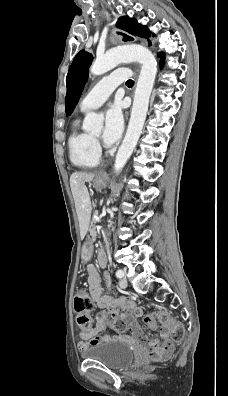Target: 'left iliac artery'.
<instances>
[{
  "mask_svg": "<svg viewBox=\"0 0 228 396\" xmlns=\"http://www.w3.org/2000/svg\"><path fill=\"white\" fill-rule=\"evenodd\" d=\"M123 276H124V272L121 269L116 271V277L117 278H122Z\"/></svg>",
  "mask_w": 228,
  "mask_h": 396,
  "instance_id": "44dca946",
  "label": "left iliac artery"
}]
</instances>
